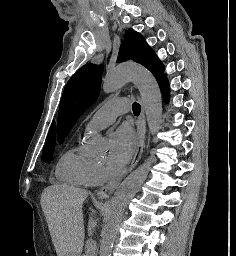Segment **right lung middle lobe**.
I'll list each match as a JSON object with an SVG mask.
<instances>
[{
    "instance_id": "dd1d6c3e",
    "label": "right lung middle lobe",
    "mask_w": 236,
    "mask_h": 256,
    "mask_svg": "<svg viewBox=\"0 0 236 256\" xmlns=\"http://www.w3.org/2000/svg\"><path fill=\"white\" fill-rule=\"evenodd\" d=\"M55 148V142H47L43 149V161L50 163Z\"/></svg>"
}]
</instances>
